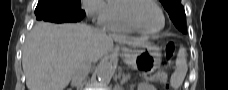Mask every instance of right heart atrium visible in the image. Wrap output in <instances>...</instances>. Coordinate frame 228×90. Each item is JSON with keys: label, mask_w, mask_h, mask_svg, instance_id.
<instances>
[{"label": "right heart atrium", "mask_w": 228, "mask_h": 90, "mask_svg": "<svg viewBox=\"0 0 228 90\" xmlns=\"http://www.w3.org/2000/svg\"><path fill=\"white\" fill-rule=\"evenodd\" d=\"M82 6L86 14L98 24L104 25L108 17V5L104 0H83Z\"/></svg>", "instance_id": "right-heart-atrium-1"}]
</instances>
